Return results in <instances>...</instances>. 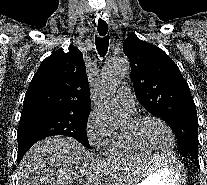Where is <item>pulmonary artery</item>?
<instances>
[{
  "label": "pulmonary artery",
  "instance_id": "e3ab8cb5",
  "mask_svg": "<svg viewBox=\"0 0 207 185\" xmlns=\"http://www.w3.org/2000/svg\"><path fill=\"white\" fill-rule=\"evenodd\" d=\"M102 74V73H101ZM119 93H117V100L120 104L128 109L134 107V99L129 91H131V86H119Z\"/></svg>",
  "mask_w": 207,
  "mask_h": 185
}]
</instances>
